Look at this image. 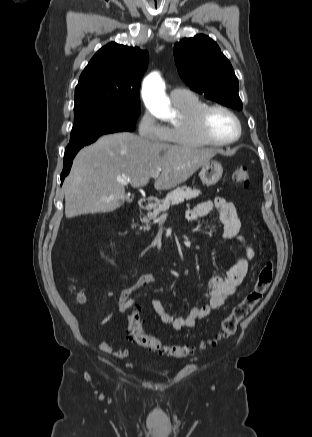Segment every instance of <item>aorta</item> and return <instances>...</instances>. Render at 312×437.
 Segmentation results:
<instances>
[{
	"label": "aorta",
	"mask_w": 312,
	"mask_h": 437,
	"mask_svg": "<svg viewBox=\"0 0 312 437\" xmlns=\"http://www.w3.org/2000/svg\"><path fill=\"white\" fill-rule=\"evenodd\" d=\"M142 97L148 110L157 118H171L170 101L165 94V84L158 73L148 75L142 87Z\"/></svg>",
	"instance_id": "1"
}]
</instances>
